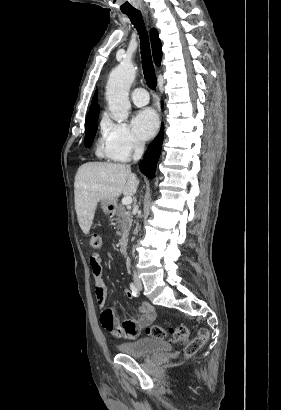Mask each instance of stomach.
I'll return each mask as SVG.
<instances>
[{"mask_svg":"<svg viewBox=\"0 0 281 410\" xmlns=\"http://www.w3.org/2000/svg\"><path fill=\"white\" fill-rule=\"evenodd\" d=\"M115 202H111V201H107V200H103L101 202V207L104 211L105 214H107L108 216H112L115 213Z\"/></svg>","mask_w":281,"mask_h":410,"instance_id":"0dacf381","label":"stomach"}]
</instances>
